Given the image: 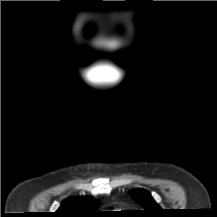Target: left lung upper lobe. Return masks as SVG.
I'll list each match as a JSON object with an SVG mask.
<instances>
[{
	"label": "left lung upper lobe",
	"instance_id": "5c2ea615",
	"mask_svg": "<svg viewBox=\"0 0 217 217\" xmlns=\"http://www.w3.org/2000/svg\"><path fill=\"white\" fill-rule=\"evenodd\" d=\"M131 197L140 204L144 209L145 213L151 215H158L163 209L153 200L151 194L144 189H134L130 191Z\"/></svg>",
	"mask_w": 217,
	"mask_h": 217
}]
</instances>
